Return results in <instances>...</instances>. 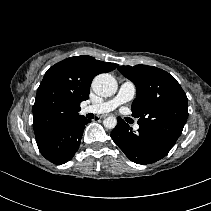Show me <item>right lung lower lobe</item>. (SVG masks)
I'll return each instance as SVG.
<instances>
[{
  "mask_svg": "<svg viewBox=\"0 0 211 211\" xmlns=\"http://www.w3.org/2000/svg\"><path fill=\"white\" fill-rule=\"evenodd\" d=\"M89 122L80 115L36 137L41 154L50 162H68L79 148L85 125Z\"/></svg>",
  "mask_w": 211,
  "mask_h": 211,
  "instance_id": "1",
  "label": "right lung lower lobe"
}]
</instances>
